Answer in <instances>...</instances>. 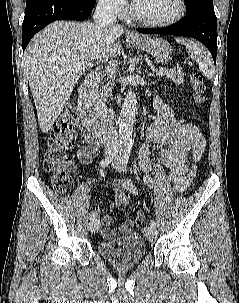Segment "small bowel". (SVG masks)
Returning <instances> with one entry per match:
<instances>
[{
	"label": "small bowel",
	"instance_id": "1",
	"mask_svg": "<svg viewBox=\"0 0 239 303\" xmlns=\"http://www.w3.org/2000/svg\"><path fill=\"white\" fill-rule=\"evenodd\" d=\"M154 104L160 112L159 117L157 122L148 128L145 141L139 150L140 166L145 172L142 181L149 187L154 184L149 174L152 170L149 146L156 143L161 147V161L169 170V181L173 184L175 192L182 193L190 186L195 177L197 165L204 153L206 142L196 126L177 120L173 113L159 100H155ZM84 141L87 145L78 151L77 156L82 164L90 165L98 155L103 139L87 133L84 136ZM113 189L116 194V207L120 206L117 196L122 190L127 189L133 192L137 190L136 186L129 180L114 182ZM100 222L101 235L105 239H111L119 233H130L134 226V222L126 220L118 227L111 228L112 218L109 215H103Z\"/></svg>",
	"mask_w": 239,
	"mask_h": 303
}]
</instances>
